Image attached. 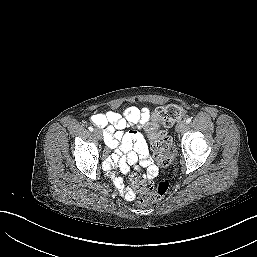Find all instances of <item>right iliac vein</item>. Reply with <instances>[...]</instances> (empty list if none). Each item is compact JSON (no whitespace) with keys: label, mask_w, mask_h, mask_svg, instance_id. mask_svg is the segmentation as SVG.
<instances>
[{"label":"right iliac vein","mask_w":257,"mask_h":257,"mask_svg":"<svg viewBox=\"0 0 257 257\" xmlns=\"http://www.w3.org/2000/svg\"><path fill=\"white\" fill-rule=\"evenodd\" d=\"M94 135L98 138L101 139L102 138V132L99 131L98 129L94 130Z\"/></svg>","instance_id":"1"}]
</instances>
